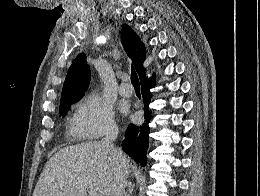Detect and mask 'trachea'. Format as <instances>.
I'll use <instances>...</instances> for the list:
<instances>
[{
    "mask_svg": "<svg viewBox=\"0 0 260 196\" xmlns=\"http://www.w3.org/2000/svg\"><path fill=\"white\" fill-rule=\"evenodd\" d=\"M131 82H132L133 86L140 87L139 78H138L136 70L133 66L131 67Z\"/></svg>",
    "mask_w": 260,
    "mask_h": 196,
    "instance_id": "1",
    "label": "trachea"
}]
</instances>
